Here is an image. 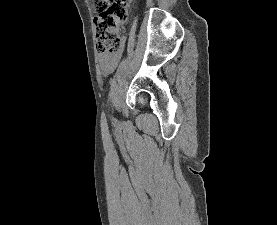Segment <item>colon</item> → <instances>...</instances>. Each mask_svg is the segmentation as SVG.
Here are the masks:
<instances>
[{
	"instance_id": "5ec220e1",
	"label": "colon",
	"mask_w": 277,
	"mask_h": 225,
	"mask_svg": "<svg viewBox=\"0 0 277 225\" xmlns=\"http://www.w3.org/2000/svg\"><path fill=\"white\" fill-rule=\"evenodd\" d=\"M130 0H92L93 8L98 12L95 19L96 47L103 55H113L121 51L123 38L121 29L128 19Z\"/></svg>"
}]
</instances>
